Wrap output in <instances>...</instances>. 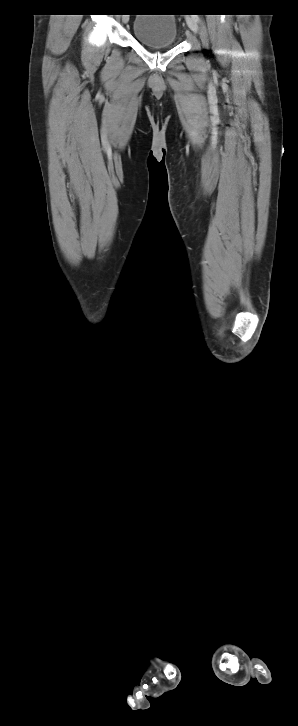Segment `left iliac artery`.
Listing matches in <instances>:
<instances>
[{"instance_id": "left-iliac-artery-1", "label": "left iliac artery", "mask_w": 298, "mask_h": 726, "mask_svg": "<svg viewBox=\"0 0 298 726\" xmlns=\"http://www.w3.org/2000/svg\"><path fill=\"white\" fill-rule=\"evenodd\" d=\"M193 17H194V19H195V20H196L197 22L199 21V18H198V16H193Z\"/></svg>"}]
</instances>
